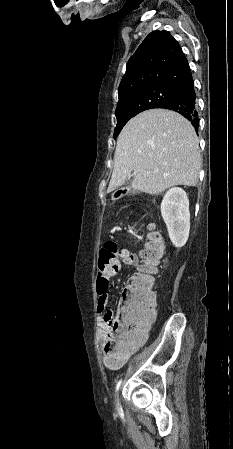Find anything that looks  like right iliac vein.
Listing matches in <instances>:
<instances>
[{
	"mask_svg": "<svg viewBox=\"0 0 233 449\" xmlns=\"http://www.w3.org/2000/svg\"><path fill=\"white\" fill-rule=\"evenodd\" d=\"M116 405L119 406V397H118V394H117V396H116Z\"/></svg>",
	"mask_w": 233,
	"mask_h": 449,
	"instance_id": "1",
	"label": "right iliac vein"
}]
</instances>
